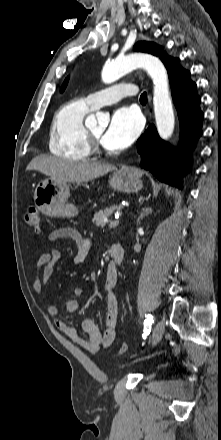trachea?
I'll return each mask as SVG.
<instances>
[{"mask_svg": "<svg viewBox=\"0 0 221 440\" xmlns=\"http://www.w3.org/2000/svg\"><path fill=\"white\" fill-rule=\"evenodd\" d=\"M140 101L141 102H147V93L146 92L141 94Z\"/></svg>", "mask_w": 221, "mask_h": 440, "instance_id": "obj_1", "label": "trachea"}]
</instances>
